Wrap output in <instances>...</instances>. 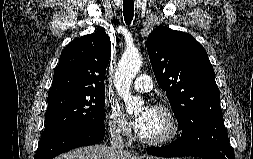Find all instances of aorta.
<instances>
[{
    "label": "aorta",
    "instance_id": "aorta-1",
    "mask_svg": "<svg viewBox=\"0 0 253 159\" xmlns=\"http://www.w3.org/2000/svg\"><path fill=\"white\" fill-rule=\"evenodd\" d=\"M142 65V58L138 52L126 51L119 60L115 72V87L118 95L125 102L126 112L132 114L141 109L143 101L131 95L132 81Z\"/></svg>",
    "mask_w": 253,
    "mask_h": 159
}]
</instances>
